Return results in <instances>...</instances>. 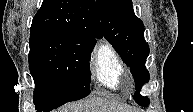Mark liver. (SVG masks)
I'll return each mask as SVG.
<instances>
[{"label":"liver","instance_id":"1","mask_svg":"<svg viewBox=\"0 0 193 112\" xmlns=\"http://www.w3.org/2000/svg\"><path fill=\"white\" fill-rule=\"evenodd\" d=\"M65 112H126L127 109L115 101L93 98L68 106Z\"/></svg>","mask_w":193,"mask_h":112}]
</instances>
